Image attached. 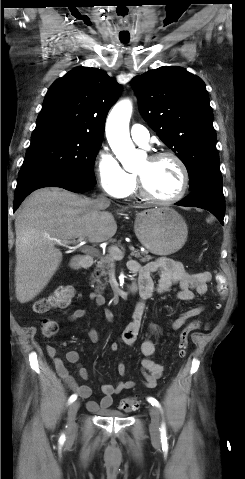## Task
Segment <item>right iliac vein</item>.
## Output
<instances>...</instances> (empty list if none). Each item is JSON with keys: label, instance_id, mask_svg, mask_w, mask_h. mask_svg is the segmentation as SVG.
<instances>
[{"label": "right iliac vein", "instance_id": "obj_1", "mask_svg": "<svg viewBox=\"0 0 245 479\" xmlns=\"http://www.w3.org/2000/svg\"><path fill=\"white\" fill-rule=\"evenodd\" d=\"M79 402H73L68 408V428L70 432H73L76 429L75 417L79 409Z\"/></svg>", "mask_w": 245, "mask_h": 479}]
</instances>
